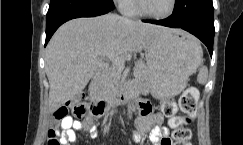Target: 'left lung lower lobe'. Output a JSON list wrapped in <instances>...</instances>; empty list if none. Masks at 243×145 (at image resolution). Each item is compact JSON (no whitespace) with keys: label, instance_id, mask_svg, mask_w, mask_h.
<instances>
[{"label":"left lung lower lobe","instance_id":"0a47b994","mask_svg":"<svg viewBox=\"0 0 243 145\" xmlns=\"http://www.w3.org/2000/svg\"><path fill=\"white\" fill-rule=\"evenodd\" d=\"M144 22L163 25L172 28H182L198 37L208 48L210 55L213 53L214 27L199 26L185 20L178 12L173 11L172 15L164 20H145Z\"/></svg>","mask_w":243,"mask_h":145}]
</instances>
